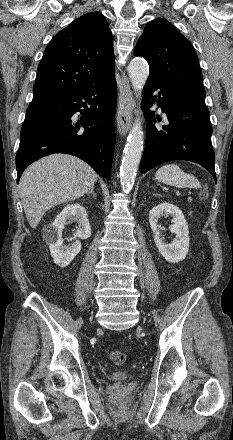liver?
Segmentation results:
<instances>
[{
  "mask_svg": "<svg viewBox=\"0 0 233 440\" xmlns=\"http://www.w3.org/2000/svg\"><path fill=\"white\" fill-rule=\"evenodd\" d=\"M97 177L87 163L66 154L49 155L31 164L19 182L22 205L31 228L37 227L50 208L89 192Z\"/></svg>",
  "mask_w": 233,
  "mask_h": 440,
  "instance_id": "obj_1",
  "label": "liver"
}]
</instances>
